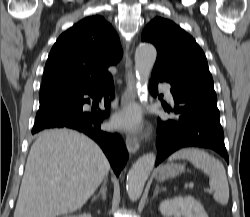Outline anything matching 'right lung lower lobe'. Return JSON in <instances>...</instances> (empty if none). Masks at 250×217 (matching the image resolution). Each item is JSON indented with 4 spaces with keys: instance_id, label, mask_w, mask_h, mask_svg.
<instances>
[{
    "instance_id": "right-lung-lower-lobe-1",
    "label": "right lung lower lobe",
    "mask_w": 250,
    "mask_h": 217,
    "mask_svg": "<svg viewBox=\"0 0 250 217\" xmlns=\"http://www.w3.org/2000/svg\"><path fill=\"white\" fill-rule=\"evenodd\" d=\"M104 93L106 96L114 94L112 78L93 90L66 99L64 107L35 122L32 134L49 128H70L82 132L100 145L115 174L119 176L127 162L128 152L119 134L104 132L100 128L103 119L109 116L110 101L114 97L105 100V111L87 112L83 110V104L90 103V99L84 98L85 95H89L94 100H99Z\"/></svg>"
}]
</instances>
